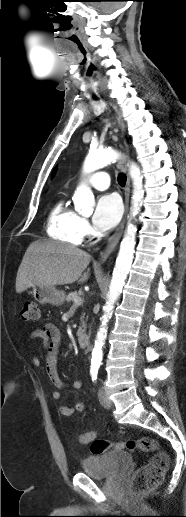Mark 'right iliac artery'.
<instances>
[{
	"instance_id": "1",
	"label": "right iliac artery",
	"mask_w": 186,
	"mask_h": 517,
	"mask_svg": "<svg viewBox=\"0 0 186 517\" xmlns=\"http://www.w3.org/2000/svg\"><path fill=\"white\" fill-rule=\"evenodd\" d=\"M90 373H91L92 380H93V381H94V380H96V379H97V373H98V371H91Z\"/></svg>"
}]
</instances>
